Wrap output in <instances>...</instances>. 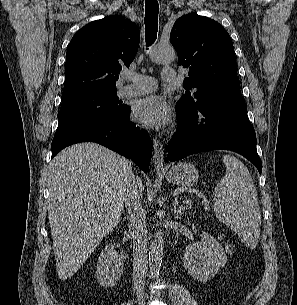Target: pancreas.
<instances>
[{"label":"pancreas","instance_id":"pancreas-1","mask_svg":"<svg viewBox=\"0 0 297 305\" xmlns=\"http://www.w3.org/2000/svg\"><path fill=\"white\" fill-rule=\"evenodd\" d=\"M207 203H208V200H206V199L204 198V200H203V205H205L206 208H209L208 205H207ZM190 204H191V202H189V205H190Z\"/></svg>","mask_w":297,"mask_h":305}]
</instances>
